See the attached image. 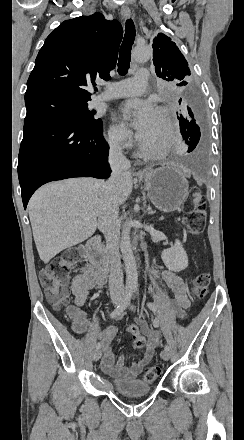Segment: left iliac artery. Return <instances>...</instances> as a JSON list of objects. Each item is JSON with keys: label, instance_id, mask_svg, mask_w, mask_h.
I'll list each match as a JSON object with an SVG mask.
<instances>
[{"label": "left iliac artery", "instance_id": "obj_1", "mask_svg": "<svg viewBox=\"0 0 244 440\" xmlns=\"http://www.w3.org/2000/svg\"><path fill=\"white\" fill-rule=\"evenodd\" d=\"M137 286L135 285L134 286V292L135 293H137ZM147 306H148V308L154 313V315H156L157 314V307H156V305L154 304V303H151V302H149V303H147ZM153 324H154V327H159V319H158V316H156L155 317V319H154V321H153ZM164 349L165 350H170V347H169V345H165L164 346Z\"/></svg>", "mask_w": 244, "mask_h": 440}]
</instances>
